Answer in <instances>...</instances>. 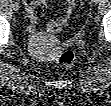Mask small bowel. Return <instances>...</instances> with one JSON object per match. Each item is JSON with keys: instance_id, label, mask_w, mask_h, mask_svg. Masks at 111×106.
Listing matches in <instances>:
<instances>
[{"instance_id": "1", "label": "small bowel", "mask_w": 111, "mask_h": 106, "mask_svg": "<svg viewBox=\"0 0 111 106\" xmlns=\"http://www.w3.org/2000/svg\"><path fill=\"white\" fill-rule=\"evenodd\" d=\"M25 5L27 6L32 22H35L36 18L41 16L45 11V3L42 0H26Z\"/></svg>"}]
</instances>
